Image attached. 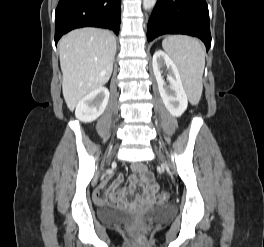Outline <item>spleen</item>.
Instances as JSON below:
<instances>
[{
	"mask_svg": "<svg viewBox=\"0 0 264 247\" xmlns=\"http://www.w3.org/2000/svg\"><path fill=\"white\" fill-rule=\"evenodd\" d=\"M162 46L177 65L191 102L197 104L202 95L205 67L201 43L192 37L174 35L166 37Z\"/></svg>",
	"mask_w": 264,
	"mask_h": 247,
	"instance_id": "spleen-1",
	"label": "spleen"
}]
</instances>
